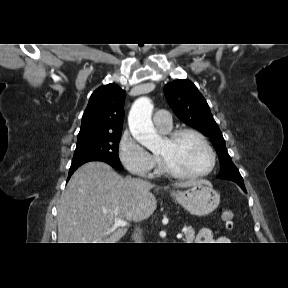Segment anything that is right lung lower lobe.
<instances>
[{
    "label": "right lung lower lobe",
    "mask_w": 288,
    "mask_h": 288,
    "mask_svg": "<svg viewBox=\"0 0 288 288\" xmlns=\"http://www.w3.org/2000/svg\"><path fill=\"white\" fill-rule=\"evenodd\" d=\"M84 164V163H83ZM82 164H78V165H74V166H71L70 167V170H69V175H68V180L70 179L71 175L74 173V171L79 167L81 166Z\"/></svg>",
    "instance_id": "1"
}]
</instances>
